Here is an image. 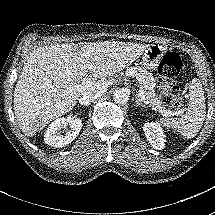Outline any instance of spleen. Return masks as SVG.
<instances>
[{"instance_id":"1","label":"spleen","mask_w":215,"mask_h":215,"mask_svg":"<svg viewBox=\"0 0 215 215\" xmlns=\"http://www.w3.org/2000/svg\"><path fill=\"white\" fill-rule=\"evenodd\" d=\"M188 98L187 112L180 119L164 118L162 123L167 127L177 129L186 138H193L200 131L206 114L204 92L195 81H192Z\"/></svg>"}]
</instances>
